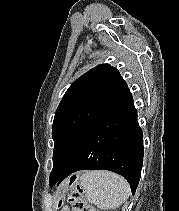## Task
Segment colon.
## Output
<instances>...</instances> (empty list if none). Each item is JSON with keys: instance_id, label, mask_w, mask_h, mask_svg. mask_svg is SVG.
Returning <instances> with one entry per match:
<instances>
[{"instance_id": "5ec220e1", "label": "colon", "mask_w": 179, "mask_h": 211, "mask_svg": "<svg viewBox=\"0 0 179 211\" xmlns=\"http://www.w3.org/2000/svg\"><path fill=\"white\" fill-rule=\"evenodd\" d=\"M83 188L77 178H71L68 184L67 200L75 211H99L83 197Z\"/></svg>"}]
</instances>
